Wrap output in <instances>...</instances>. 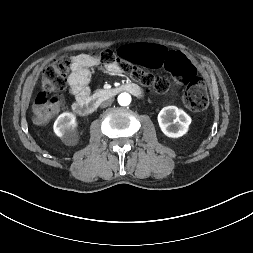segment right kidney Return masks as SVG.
<instances>
[{
    "label": "right kidney",
    "mask_w": 253,
    "mask_h": 253,
    "mask_svg": "<svg viewBox=\"0 0 253 253\" xmlns=\"http://www.w3.org/2000/svg\"><path fill=\"white\" fill-rule=\"evenodd\" d=\"M76 127V116L73 113L64 112L56 119L53 129L54 133L67 145H74L77 143Z\"/></svg>",
    "instance_id": "1"
}]
</instances>
